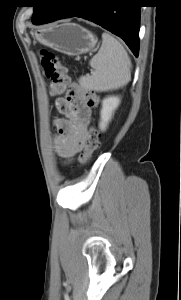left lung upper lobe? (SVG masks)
Returning <instances> with one entry per match:
<instances>
[{
  "mask_svg": "<svg viewBox=\"0 0 181 300\" xmlns=\"http://www.w3.org/2000/svg\"><path fill=\"white\" fill-rule=\"evenodd\" d=\"M32 3L34 4L32 22L35 25H40L53 12L57 0H34Z\"/></svg>",
  "mask_w": 181,
  "mask_h": 300,
  "instance_id": "left-lung-upper-lobe-1",
  "label": "left lung upper lobe"
}]
</instances>
